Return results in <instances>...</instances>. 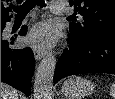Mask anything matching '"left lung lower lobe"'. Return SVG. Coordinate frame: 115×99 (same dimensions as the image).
<instances>
[{
  "label": "left lung lower lobe",
  "instance_id": "1",
  "mask_svg": "<svg viewBox=\"0 0 115 99\" xmlns=\"http://www.w3.org/2000/svg\"><path fill=\"white\" fill-rule=\"evenodd\" d=\"M69 48L59 59L54 82L60 79L84 73L115 74V39L96 38L78 43L68 34Z\"/></svg>",
  "mask_w": 115,
  "mask_h": 99
}]
</instances>
